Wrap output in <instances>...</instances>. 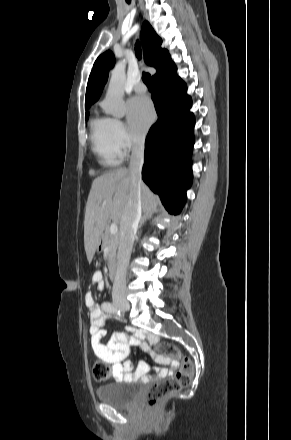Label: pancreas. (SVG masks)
Returning a JSON list of instances; mask_svg holds the SVG:
<instances>
[{
  "label": "pancreas",
  "instance_id": "1",
  "mask_svg": "<svg viewBox=\"0 0 291 440\" xmlns=\"http://www.w3.org/2000/svg\"><path fill=\"white\" fill-rule=\"evenodd\" d=\"M103 246L107 248L109 255V264L115 262L116 251L119 245V235L111 234L109 227L105 226V232L102 235Z\"/></svg>",
  "mask_w": 291,
  "mask_h": 440
}]
</instances>
